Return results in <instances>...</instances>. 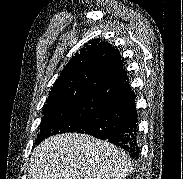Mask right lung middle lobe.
<instances>
[{"label":"right lung middle lobe","instance_id":"obj_1","mask_svg":"<svg viewBox=\"0 0 183 179\" xmlns=\"http://www.w3.org/2000/svg\"><path fill=\"white\" fill-rule=\"evenodd\" d=\"M103 103V95H89L44 106L40 134L35 143L52 135L79 131L97 116Z\"/></svg>","mask_w":183,"mask_h":179}]
</instances>
